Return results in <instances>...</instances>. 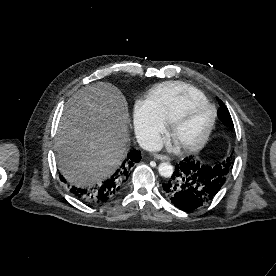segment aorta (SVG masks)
Segmentation results:
<instances>
[{"label":"aorta","instance_id":"762f6f07","mask_svg":"<svg viewBox=\"0 0 276 276\" xmlns=\"http://www.w3.org/2000/svg\"><path fill=\"white\" fill-rule=\"evenodd\" d=\"M159 174L164 178H170L173 175L174 168L168 162H162L158 167Z\"/></svg>","mask_w":276,"mask_h":276}]
</instances>
